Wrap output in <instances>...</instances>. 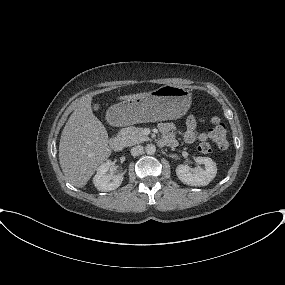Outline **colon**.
<instances>
[{"instance_id": "colon-1", "label": "colon", "mask_w": 285, "mask_h": 285, "mask_svg": "<svg viewBox=\"0 0 285 285\" xmlns=\"http://www.w3.org/2000/svg\"><path fill=\"white\" fill-rule=\"evenodd\" d=\"M212 128L210 130V138L217 148L221 150L227 149L229 142L227 138V129L225 124L217 117L212 119ZM199 151L203 154L211 152V146L208 143H202L199 146Z\"/></svg>"}]
</instances>
